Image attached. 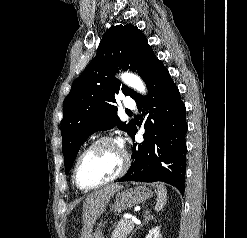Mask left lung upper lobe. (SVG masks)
Wrapping results in <instances>:
<instances>
[{
    "label": "left lung upper lobe",
    "mask_w": 247,
    "mask_h": 238,
    "mask_svg": "<svg viewBox=\"0 0 247 238\" xmlns=\"http://www.w3.org/2000/svg\"><path fill=\"white\" fill-rule=\"evenodd\" d=\"M160 64L144 34L131 24L112 26L103 36L95 58L73 82L64 100L61 123L65 173L71 169L82 143L91 134L117 127L129 135L135 124L120 121L115 94L133 99L140 94L121 86L114 74L120 69L137 72L147 84Z\"/></svg>",
    "instance_id": "left-lung-upper-lobe-1"
}]
</instances>
